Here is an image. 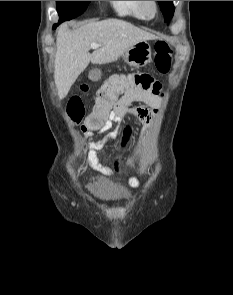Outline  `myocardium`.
Returning <instances> with one entry per match:
<instances>
[{
	"label": "myocardium",
	"instance_id": "myocardium-1",
	"mask_svg": "<svg viewBox=\"0 0 233 295\" xmlns=\"http://www.w3.org/2000/svg\"><path fill=\"white\" fill-rule=\"evenodd\" d=\"M147 4H150L152 6V13L148 12ZM139 8L141 13L144 15L145 19H153L158 13L157 1H139Z\"/></svg>",
	"mask_w": 233,
	"mask_h": 295
}]
</instances>
